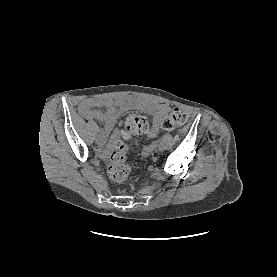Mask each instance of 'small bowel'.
<instances>
[{"mask_svg":"<svg viewBox=\"0 0 277 277\" xmlns=\"http://www.w3.org/2000/svg\"><path fill=\"white\" fill-rule=\"evenodd\" d=\"M143 104L137 100H131L128 97H120L116 99L111 98H87L79 104L80 114L91 121H99L103 123V128L100 132V137L105 140V137L114 128L119 116L124 111L130 108H140ZM98 108H105V111ZM150 112L153 115L154 127L148 133V136L153 138L159 133V127L163 116L166 113V107L162 104H150L148 105ZM119 130H115L113 133V139L120 137ZM101 143L100 145H103ZM149 149H147L148 151Z\"/></svg>","mask_w":277,"mask_h":277,"instance_id":"small-bowel-1","label":"small bowel"}]
</instances>
